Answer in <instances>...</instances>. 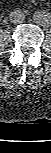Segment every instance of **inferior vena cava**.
I'll use <instances>...</instances> for the list:
<instances>
[{"mask_svg": "<svg viewBox=\"0 0 51 153\" xmlns=\"http://www.w3.org/2000/svg\"><path fill=\"white\" fill-rule=\"evenodd\" d=\"M10 21L14 24H20L25 20V14L21 10H14L9 15Z\"/></svg>", "mask_w": 51, "mask_h": 153, "instance_id": "obj_1", "label": "inferior vena cava"}]
</instances>
